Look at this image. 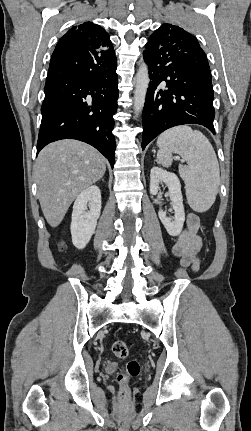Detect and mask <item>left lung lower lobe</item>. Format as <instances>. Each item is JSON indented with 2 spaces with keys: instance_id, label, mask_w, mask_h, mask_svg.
Returning <instances> with one entry per match:
<instances>
[{
  "instance_id": "0a47b994",
  "label": "left lung lower lobe",
  "mask_w": 251,
  "mask_h": 431,
  "mask_svg": "<svg viewBox=\"0 0 251 431\" xmlns=\"http://www.w3.org/2000/svg\"><path fill=\"white\" fill-rule=\"evenodd\" d=\"M143 55L151 81L142 115V149L177 125L199 124L215 134L211 72L200 45L150 37Z\"/></svg>"
}]
</instances>
